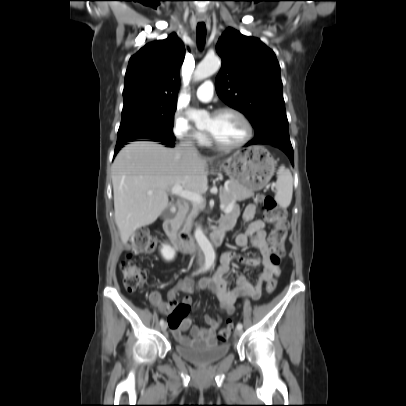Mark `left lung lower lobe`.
<instances>
[{
  "label": "left lung lower lobe",
  "mask_w": 406,
  "mask_h": 406,
  "mask_svg": "<svg viewBox=\"0 0 406 406\" xmlns=\"http://www.w3.org/2000/svg\"><path fill=\"white\" fill-rule=\"evenodd\" d=\"M256 144L273 145L274 147L281 149L288 155L292 164H294L293 149H292L290 140L279 139V138H274V137H261V138H254L253 140L248 142L245 146L256 145Z\"/></svg>",
  "instance_id": "1"
}]
</instances>
